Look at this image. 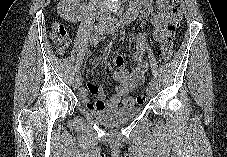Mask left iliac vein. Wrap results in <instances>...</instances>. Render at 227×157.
<instances>
[{
    "label": "left iliac vein",
    "mask_w": 227,
    "mask_h": 157,
    "mask_svg": "<svg viewBox=\"0 0 227 157\" xmlns=\"http://www.w3.org/2000/svg\"><path fill=\"white\" fill-rule=\"evenodd\" d=\"M146 92H147L148 96H154L155 95V86L153 84H149L147 89H146Z\"/></svg>",
    "instance_id": "obj_1"
}]
</instances>
